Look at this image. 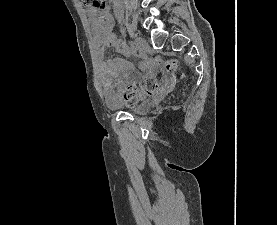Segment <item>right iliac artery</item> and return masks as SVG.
Wrapping results in <instances>:
<instances>
[{"label":"right iliac artery","instance_id":"82829eb1","mask_svg":"<svg viewBox=\"0 0 277 225\" xmlns=\"http://www.w3.org/2000/svg\"><path fill=\"white\" fill-rule=\"evenodd\" d=\"M130 49L133 53H136L137 51V46L135 45V43H130Z\"/></svg>","mask_w":277,"mask_h":225}]
</instances>
